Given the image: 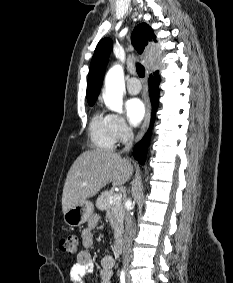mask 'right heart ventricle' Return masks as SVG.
Returning a JSON list of instances; mask_svg holds the SVG:
<instances>
[{"instance_id": "right-heart-ventricle-1", "label": "right heart ventricle", "mask_w": 233, "mask_h": 283, "mask_svg": "<svg viewBox=\"0 0 233 283\" xmlns=\"http://www.w3.org/2000/svg\"><path fill=\"white\" fill-rule=\"evenodd\" d=\"M88 133L92 145L99 150L110 151L116 140L112 131L110 115L96 112L89 124Z\"/></svg>"}]
</instances>
